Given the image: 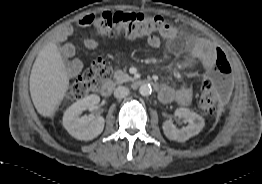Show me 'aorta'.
<instances>
[{
    "label": "aorta",
    "instance_id": "1",
    "mask_svg": "<svg viewBox=\"0 0 262 184\" xmlns=\"http://www.w3.org/2000/svg\"><path fill=\"white\" fill-rule=\"evenodd\" d=\"M152 92V88L150 85L148 84H142L140 87H139V93L142 95V96H149Z\"/></svg>",
    "mask_w": 262,
    "mask_h": 184
}]
</instances>
